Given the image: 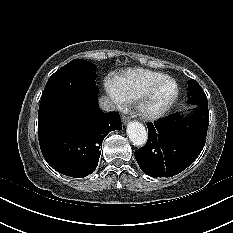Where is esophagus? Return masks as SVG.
Returning <instances> with one entry per match:
<instances>
[{"label": "esophagus", "mask_w": 233, "mask_h": 233, "mask_svg": "<svg viewBox=\"0 0 233 233\" xmlns=\"http://www.w3.org/2000/svg\"><path fill=\"white\" fill-rule=\"evenodd\" d=\"M129 120H130V118L128 116H123L122 117V122H123L124 125L127 124L129 122Z\"/></svg>", "instance_id": "34e87169"}]
</instances>
